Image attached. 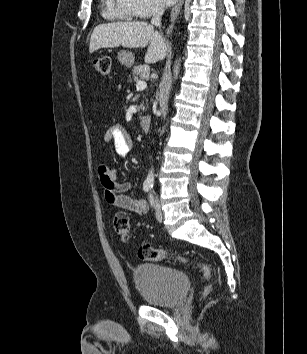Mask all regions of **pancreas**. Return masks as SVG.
Instances as JSON below:
<instances>
[{
    "label": "pancreas",
    "mask_w": 307,
    "mask_h": 354,
    "mask_svg": "<svg viewBox=\"0 0 307 354\" xmlns=\"http://www.w3.org/2000/svg\"><path fill=\"white\" fill-rule=\"evenodd\" d=\"M149 67L146 65L135 66L129 75L130 81H139L140 79H148Z\"/></svg>",
    "instance_id": "obj_1"
}]
</instances>
